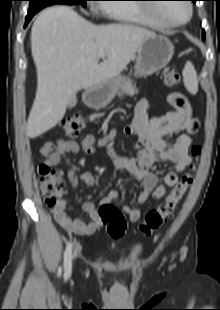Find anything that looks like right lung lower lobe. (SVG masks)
<instances>
[{
  "label": "right lung lower lobe",
  "mask_w": 220,
  "mask_h": 310,
  "mask_svg": "<svg viewBox=\"0 0 220 310\" xmlns=\"http://www.w3.org/2000/svg\"><path fill=\"white\" fill-rule=\"evenodd\" d=\"M37 13V12H36ZM35 12H28L25 20V26L28 24V22L32 19V17L36 14Z\"/></svg>",
  "instance_id": "1"
}]
</instances>
